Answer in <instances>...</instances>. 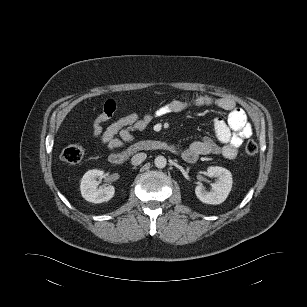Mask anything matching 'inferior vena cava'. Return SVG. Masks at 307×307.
<instances>
[{
    "label": "inferior vena cava",
    "instance_id": "602c4592",
    "mask_svg": "<svg viewBox=\"0 0 307 307\" xmlns=\"http://www.w3.org/2000/svg\"><path fill=\"white\" fill-rule=\"evenodd\" d=\"M146 157V153H137L132 157L131 163L132 165H139L146 159Z\"/></svg>",
    "mask_w": 307,
    "mask_h": 307
}]
</instances>
